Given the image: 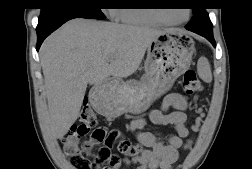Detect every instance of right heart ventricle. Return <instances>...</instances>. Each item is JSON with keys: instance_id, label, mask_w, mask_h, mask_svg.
Here are the masks:
<instances>
[{"instance_id": "1", "label": "right heart ventricle", "mask_w": 252, "mask_h": 169, "mask_svg": "<svg viewBox=\"0 0 252 169\" xmlns=\"http://www.w3.org/2000/svg\"><path fill=\"white\" fill-rule=\"evenodd\" d=\"M116 15L119 22L127 25H144L157 26L159 22L148 17L141 9L120 8L116 10Z\"/></svg>"}]
</instances>
